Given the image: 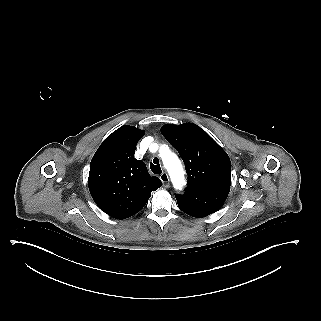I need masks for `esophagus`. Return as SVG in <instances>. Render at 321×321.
<instances>
[{"label": "esophagus", "instance_id": "34e87169", "mask_svg": "<svg viewBox=\"0 0 321 321\" xmlns=\"http://www.w3.org/2000/svg\"><path fill=\"white\" fill-rule=\"evenodd\" d=\"M160 180L163 182L164 187H167V184H168V182H169V176H168V174H167L166 172L162 173V174L160 175Z\"/></svg>", "mask_w": 321, "mask_h": 321}]
</instances>
